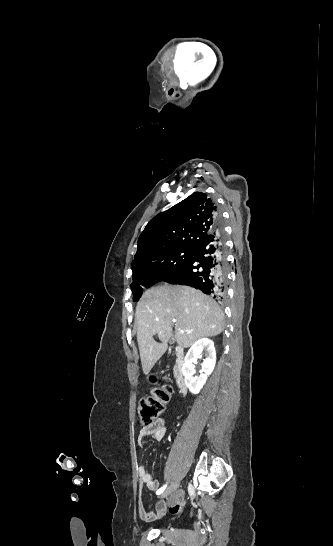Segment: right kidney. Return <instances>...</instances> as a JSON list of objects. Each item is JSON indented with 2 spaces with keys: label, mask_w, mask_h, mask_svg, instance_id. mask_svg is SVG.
I'll return each instance as SVG.
<instances>
[{
  "label": "right kidney",
  "mask_w": 333,
  "mask_h": 546,
  "mask_svg": "<svg viewBox=\"0 0 333 546\" xmlns=\"http://www.w3.org/2000/svg\"><path fill=\"white\" fill-rule=\"evenodd\" d=\"M206 351V358L203 360L202 372L196 380L193 378L195 374V360L201 355L202 351ZM216 363V351L212 340L203 338L195 342L188 350L185 356V362L182 366V374L185 377V384L189 391L197 394L205 384L207 377L212 373Z\"/></svg>",
  "instance_id": "obj_1"
}]
</instances>
